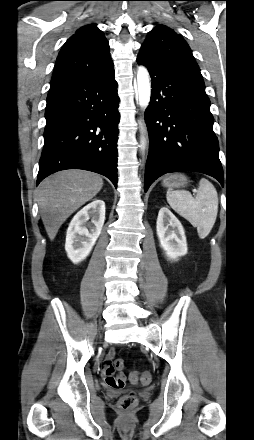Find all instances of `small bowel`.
I'll return each instance as SVG.
<instances>
[{"label": "small bowel", "mask_w": 254, "mask_h": 440, "mask_svg": "<svg viewBox=\"0 0 254 440\" xmlns=\"http://www.w3.org/2000/svg\"><path fill=\"white\" fill-rule=\"evenodd\" d=\"M115 356V351L111 350L106 357L104 358L102 365H101V376L104 379L107 386L116 388L113 385V382L116 380V377L114 376V369L112 366V361Z\"/></svg>", "instance_id": "c3829d8e"}]
</instances>
